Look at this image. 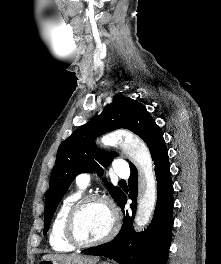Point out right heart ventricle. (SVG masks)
I'll return each instance as SVG.
<instances>
[{
  "mask_svg": "<svg viewBox=\"0 0 221 264\" xmlns=\"http://www.w3.org/2000/svg\"><path fill=\"white\" fill-rule=\"evenodd\" d=\"M82 190L78 189L64 198L52 223L49 242L53 250L58 252L72 251L75 246L70 244L64 233L67 213L71 206L81 197Z\"/></svg>",
  "mask_w": 221,
  "mask_h": 264,
  "instance_id": "right-heart-ventricle-1",
  "label": "right heart ventricle"
}]
</instances>
